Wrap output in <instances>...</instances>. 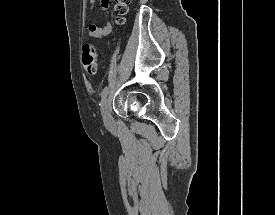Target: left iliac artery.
<instances>
[{
	"label": "left iliac artery",
	"instance_id": "44dca946",
	"mask_svg": "<svg viewBox=\"0 0 275 215\" xmlns=\"http://www.w3.org/2000/svg\"><path fill=\"white\" fill-rule=\"evenodd\" d=\"M107 93H108V87L106 86V87L102 90V92H101V98H102L101 103L103 102V100H104L105 97L107 96ZM100 105H101V104H100Z\"/></svg>",
	"mask_w": 275,
	"mask_h": 215
}]
</instances>
